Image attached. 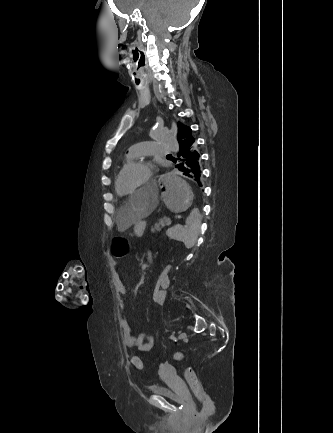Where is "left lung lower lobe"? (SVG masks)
<instances>
[{"label":"left lung lower lobe","mask_w":333,"mask_h":433,"mask_svg":"<svg viewBox=\"0 0 333 433\" xmlns=\"http://www.w3.org/2000/svg\"><path fill=\"white\" fill-rule=\"evenodd\" d=\"M177 156L178 158L173 160L176 163L175 167L183 175L190 177L200 185V154L197 149L196 140L193 143L191 141L183 142Z\"/></svg>","instance_id":"obj_1"}]
</instances>
